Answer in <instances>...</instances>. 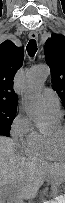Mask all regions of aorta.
Instances as JSON below:
<instances>
[{"mask_svg": "<svg viewBox=\"0 0 65 203\" xmlns=\"http://www.w3.org/2000/svg\"><path fill=\"white\" fill-rule=\"evenodd\" d=\"M49 74L50 70L46 65H39L32 71L29 80L31 86V90L27 95L29 113L34 123L40 129L49 127L52 120V116L47 111L41 96L37 91L38 87L45 82ZM45 202V200L39 201V203Z\"/></svg>", "mask_w": 65, "mask_h": 203, "instance_id": "1", "label": "aorta"}]
</instances>
